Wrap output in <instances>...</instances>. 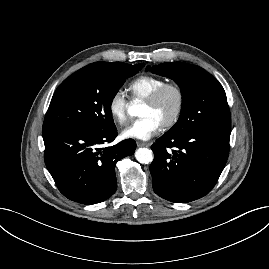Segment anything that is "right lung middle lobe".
<instances>
[{
  "label": "right lung middle lobe",
  "mask_w": 269,
  "mask_h": 269,
  "mask_svg": "<svg viewBox=\"0 0 269 269\" xmlns=\"http://www.w3.org/2000/svg\"><path fill=\"white\" fill-rule=\"evenodd\" d=\"M144 64H89L62 82L47 110L43 130L72 126L94 132L115 128L111 103L127 77L138 73Z\"/></svg>",
  "instance_id": "obj_1"
}]
</instances>
